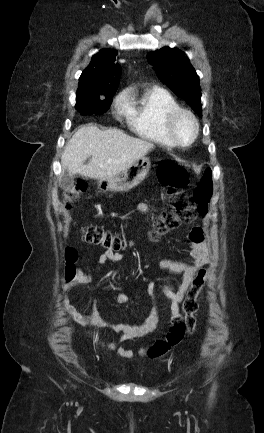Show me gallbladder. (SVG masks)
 Here are the masks:
<instances>
[{
	"mask_svg": "<svg viewBox=\"0 0 264 433\" xmlns=\"http://www.w3.org/2000/svg\"><path fill=\"white\" fill-rule=\"evenodd\" d=\"M74 185V180L67 170L63 169L59 177V187L63 190H69Z\"/></svg>",
	"mask_w": 264,
	"mask_h": 433,
	"instance_id": "gallbladder-1",
	"label": "gallbladder"
}]
</instances>
